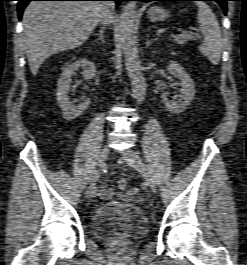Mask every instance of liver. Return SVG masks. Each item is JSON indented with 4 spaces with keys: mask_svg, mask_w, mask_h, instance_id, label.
I'll return each instance as SVG.
<instances>
[{
    "mask_svg": "<svg viewBox=\"0 0 247 265\" xmlns=\"http://www.w3.org/2000/svg\"><path fill=\"white\" fill-rule=\"evenodd\" d=\"M103 11V2L29 3L23 13L22 40L32 74L36 76L51 55L81 46L97 26Z\"/></svg>",
    "mask_w": 247,
    "mask_h": 265,
    "instance_id": "6515ba94",
    "label": "liver"
}]
</instances>
